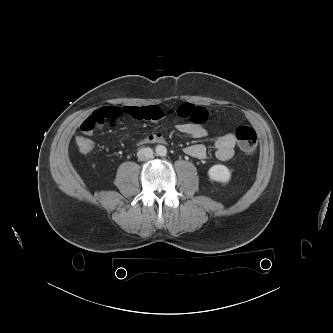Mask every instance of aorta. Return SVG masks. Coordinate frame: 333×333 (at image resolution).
<instances>
[{"instance_id":"1","label":"aorta","mask_w":333,"mask_h":333,"mask_svg":"<svg viewBox=\"0 0 333 333\" xmlns=\"http://www.w3.org/2000/svg\"><path fill=\"white\" fill-rule=\"evenodd\" d=\"M156 153H157V155H159V156H166V154H167V149H166V147L163 146V145H158V146L156 147Z\"/></svg>"}]
</instances>
